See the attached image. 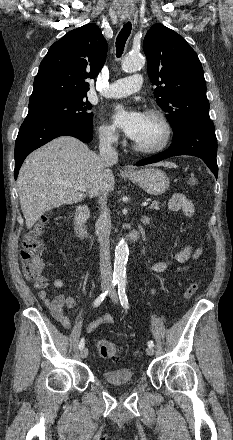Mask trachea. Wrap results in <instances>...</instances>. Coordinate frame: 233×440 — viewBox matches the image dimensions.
Here are the masks:
<instances>
[{
	"label": "trachea",
	"mask_w": 233,
	"mask_h": 440,
	"mask_svg": "<svg viewBox=\"0 0 233 440\" xmlns=\"http://www.w3.org/2000/svg\"><path fill=\"white\" fill-rule=\"evenodd\" d=\"M132 25L130 22L124 24L116 39V56L120 57L123 53L125 43L131 33Z\"/></svg>",
	"instance_id": "trachea-1"
}]
</instances>
